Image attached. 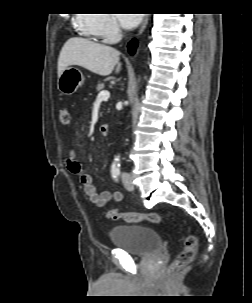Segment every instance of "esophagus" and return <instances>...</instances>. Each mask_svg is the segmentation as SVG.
I'll use <instances>...</instances> for the list:
<instances>
[{"mask_svg": "<svg viewBox=\"0 0 252 303\" xmlns=\"http://www.w3.org/2000/svg\"><path fill=\"white\" fill-rule=\"evenodd\" d=\"M149 18H150V15L145 14L143 21L141 22L140 27L138 29V35H141L144 32L145 28L148 25Z\"/></svg>", "mask_w": 252, "mask_h": 303, "instance_id": "esophagus-1", "label": "esophagus"}]
</instances>
